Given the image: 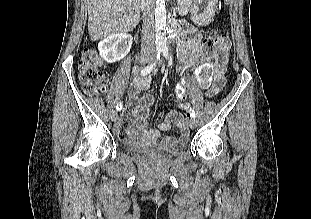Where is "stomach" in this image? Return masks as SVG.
<instances>
[{"label": "stomach", "mask_w": 311, "mask_h": 219, "mask_svg": "<svg viewBox=\"0 0 311 219\" xmlns=\"http://www.w3.org/2000/svg\"><path fill=\"white\" fill-rule=\"evenodd\" d=\"M192 21L199 26L208 25L216 11L217 0H192Z\"/></svg>", "instance_id": "0dacf381"}]
</instances>
